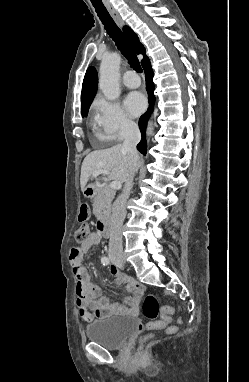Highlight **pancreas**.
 <instances>
[{"mask_svg":"<svg viewBox=\"0 0 249 382\" xmlns=\"http://www.w3.org/2000/svg\"><path fill=\"white\" fill-rule=\"evenodd\" d=\"M113 198L114 192L108 186L98 187L93 203V213L97 218L109 213Z\"/></svg>","mask_w":249,"mask_h":382,"instance_id":"1","label":"pancreas"}]
</instances>
